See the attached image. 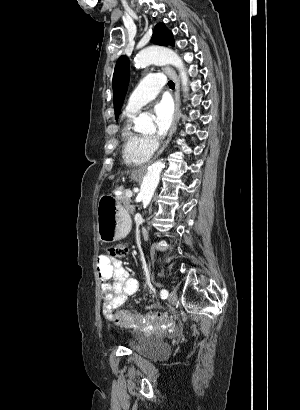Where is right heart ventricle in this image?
I'll list each match as a JSON object with an SVG mask.
<instances>
[{"mask_svg": "<svg viewBox=\"0 0 300 410\" xmlns=\"http://www.w3.org/2000/svg\"><path fill=\"white\" fill-rule=\"evenodd\" d=\"M135 112H125V119L121 130L122 158L126 164H141L148 161L152 155L145 143V137L136 132L131 125Z\"/></svg>", "mask_w": 300, "mask_h": 410, "instance_id": "e07e8e85", "label": "right heart ventricle"}]
</instances>
